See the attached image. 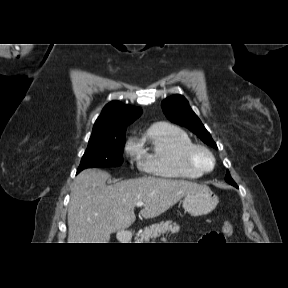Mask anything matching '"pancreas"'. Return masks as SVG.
<instances>
[{"mask_svg":"<svg viewBox=\"0 0 288 288\" xmlns=\"http://www.w3.org/2000/svg\"><path fill=\"white\" fill-rule=\"evenodd\" d=\"M180 230V227L172 221L155 223L149 227H146L144 231L135 237L137 243H149L150 240H154L157 237H160L164 233H177Z\"/></svg>","mask_w":288,"mask_h":288,"instance_id":"pancreas-1","label":"pancreas"}]
</instances>
